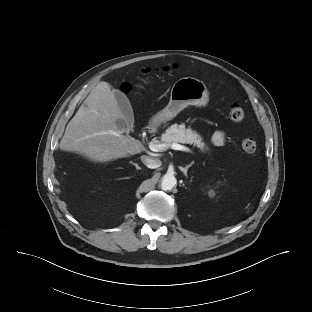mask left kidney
I'll use <instances>...</instances> for the list:
<instances>
[{
    "instance_id": "1",
    "label": "left kidney",
    "mask_w": 312,
    "mask_h": 312,
    "mask_svg": "<svg viewBox=\"0 0 312 312\" xmlns=\"http://www.w3.org/2000/svg\"><path fill=\"white\" fill-rule=\"evenodd\" d=\"M209 194L212 195V196L215 195V193H214L213 190H210V191H209Z\"/></svg>"
}]
</instances>
